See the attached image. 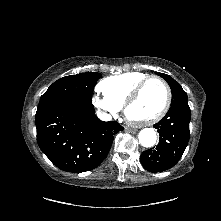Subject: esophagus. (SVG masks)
Returning a JSON list of instances; mask_svg holds the SVG:
<instances>
[{"instance_id":"34e87169","label":"esophagus","mask_w":221,"mask_h":221,"mask_svg":"<svg viewBox=\"0 0 221 221\" xmlns=\"http://www.w3.org/2000/svg\"><path fill=\"white\" fill-rule=\"evenodd\" d=\"M125 130H126L127 132H129V133H133V134L137 132L136 129H134V128H130V127H125Z\"/></svg>"}]
</instances>
